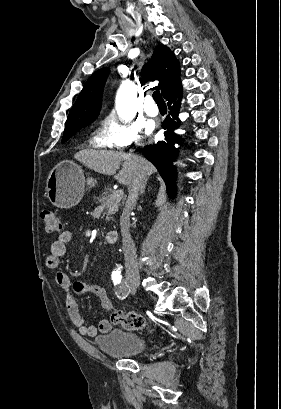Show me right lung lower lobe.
Segmentation results:
<instances>
[{
    "instance_id": "obj_1",
    "label": "right lung lower lobe",
    "mask_w": 281,
    "mask_h": 409,
    "mask_svg": "<svg viewBox=\"0 0 281 409\" xmlns=\"http://www.w3.org/2000/svg\"><path fill=\"white\" fill-rule=\"evenodd\" d=\"M182 91V84L180 83L165 97L170 110L169 115L162 123V128L166 129L164 132L165 140L155 145L145 146L143 149L146 158L156 166L165 181L170 197H174L176 193V170L172 163L177 155V149L174 147V144L180 143V136L175 134L174 130L180 126L177 114L180 110Z\"/></svg>"
}]
</instances>
